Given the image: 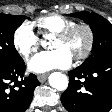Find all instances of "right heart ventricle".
<instances>
[{"label": "right heart ventricle", "instance_id": "obj_1", "mask_svg": "<svg viewBox=\"0 0 112 112\" xmlns=\"http://www.w3.org/2000/svg\"><path fill=\"white\" fill-rule=\"evenodd\" d=\"M33 24L38 27L42 33L53 34L75 24V21L65 16L51 13L37 18Z\"/></svg>", "mask_w": 112, "mask_h": 112}]
</instances>
